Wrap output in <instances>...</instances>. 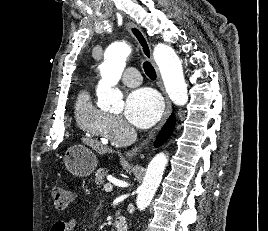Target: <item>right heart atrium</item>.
Masks as SVG:
<instances>
[{"label":"right heart atrium","instance_id":"obj_1","mask_svg":"<svg viewBox=\"0 0 268 231\" xmlns=\"http://www.w3.org/2000/svg\"><path fill=\"white\" fill-rule=\"evenodd\" d=\"M128 130V125L120 116L111 115L106 128V140L111 143H117Z\"/></svg>","mask_w":268,"mask_h":231}]
</instances>
